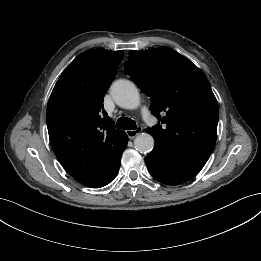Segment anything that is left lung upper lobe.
<instances>
[{"mask_svg":"<svg viewBox=\"0 0 261 261\" xmlns=\"http://www.w3.org/2000/svg\"><path fill=\"white\" fill-rule=\"evenodd\" d=\"M125 72L151 98L150 109L164 124L147 132L172 152L210 156L217 138L219 108L205 74L168 47L130 51ZM160 112H166L164 117Z\"/></svg>","mask_w":261,"mask_h":261,"instance_id":"5c2ea615","label":"left lung upper lobe"}]
</instances>
